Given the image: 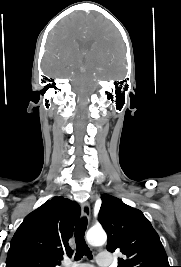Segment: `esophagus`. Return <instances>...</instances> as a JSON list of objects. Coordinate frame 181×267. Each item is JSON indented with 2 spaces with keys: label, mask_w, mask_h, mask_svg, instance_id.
<instances>
[{
  "label": "esophagus",
  "mask_w": 181,
  "mask_h": 267,
  "mask_svg": "<svg viewBox=\"0 0 181 267\" xmlns=\"http://www.w3.org/2000/svg\"><path fill=\"white\" fill-rule=\"evenodd\" d=\"M81 210H82L83 216L89 220L91 217V209H90L89 203L88 202L83 203Z\"/></svg>",
  "instance_id": "obj_1"
}]
</instances>
